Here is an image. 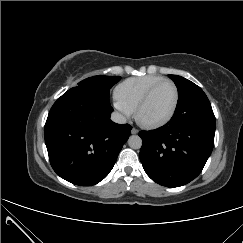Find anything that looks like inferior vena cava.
Returning a JSON list of instances; mask_svg holds the SVG:
<instances>
[{"label":"inferior vena cava","mask_w":243,"mask_h":243,"mask_svg":"<svg viewBox=\"0 0 243 243\" xmlns=\"http://www.w3.org/2000/svg\"><path fill=\"white\" fill-rule=\"evenodd\" d=\"M111 120L119 124H124L126 122V118L119 112H113L111 114Z\"/></svg>","instance_id":"602c4592"}]
</instances>
